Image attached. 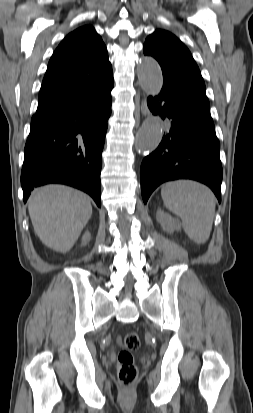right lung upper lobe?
Here are the masks:
<instances>
[{"instance_id":"right-lung-upper-lobe-1","label":"right lung upper lobe","mask_w":253,"mask_h":413,"mask_svg":"<svg viewBox=\"0 0 253 413\" xmlns=\"http://www.w3.org/2000/svg\"><path fill=\"white\" fill-rule=\"evenodd\" d=\"M107 49L92 26L68 34L52 55L32 117L47 118L65 105L95 94L112 75Z\"/></svg>"}]
</instances>
